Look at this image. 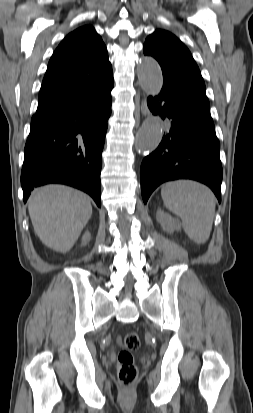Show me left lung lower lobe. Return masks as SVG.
Instances as JSON below:
<instances>
[{
    "mask_svg": "<svg viewBox=\"0 0 253 413\" xmlns=\"http://www.w3.org/2000/svg\"><path fill=\"white\" fill-rule=\"evenodd\" d=\"M148 106L153 114L169 120V130L141 164L144 203L157 186L176 179H193L208 185L221 202L220 143L205 90L164 78L160 94L149 97Z\"/></svg>",
    "mask_w": 253,
    "mask_h": 413,
    "instance_id": "obj_1",
    "label": "left lung lower lobe"
}]
</instances>
